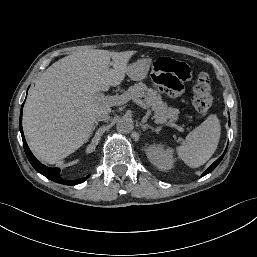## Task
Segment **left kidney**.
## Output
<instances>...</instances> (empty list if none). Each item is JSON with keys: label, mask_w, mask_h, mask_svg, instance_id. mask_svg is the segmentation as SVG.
<instances>
[{"label": "left kidney", "mask_w": 257, "mask_h": 257, "mask_svg": "<svg viewBox=\"0 0 257 257\" xmlns=\"http://www.w3.org/2000/svg\"><path fill=\"white\" fill-rule=\"evenodd\" d=\"M147 158L159 170L173 168V150L164 148L162 144H153L146 149Z\"/></svg>", "instance_id": "left-kidney-1"}]
</instances>
